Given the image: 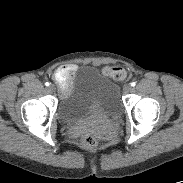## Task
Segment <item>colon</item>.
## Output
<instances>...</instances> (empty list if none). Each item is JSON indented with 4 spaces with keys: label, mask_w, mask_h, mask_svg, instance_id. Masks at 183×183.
<instances>
[{
    "label": "colon",
    "mask_w": 183,
    "mask_h": 183,
    "mask_svg": "<svg viewBox=\"0 0 183 183\" xmlns=\"http://www.w3.org/2000/svg\"><path fill=\"white\" fill-rule=\"evenodd\" d=\"M103 72L105 75L117 81H122L127 76L125 69L121 66H109L104 68ZM72 77L71 72H57L55 75V79L60 89L65 88ZM81 144L86 150H92L97 145V139L91 134H85L82 137Z\"/></svg>",
    "instance_id": "5ec220e1"
}]
</instances>
